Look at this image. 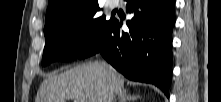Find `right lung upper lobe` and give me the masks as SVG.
<instances>
[{
	"instance_id": "1",
	"label": "right lung upper lobe",
	"mask_w": 221,
	"mask_h": 102,
	"mask_svg": "<svg viewBox=\"0 0 221 102\" xmlns=\"http://www.w3.org/2000/svg\"><path fill=\"white\" fill-rule=\"evenodd\" d=\"M96 1L97 0H49L46 20L65 8L83 6Z\"/></svg>"
}]
</instances>
